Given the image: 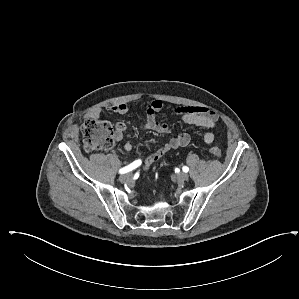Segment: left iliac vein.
<instances>
[{"label": "left iliac vein", "instance_id": "4c4485c4", "mask_svg": "<svg viewBox=\"0 0 299 299\" xmlns=\"http://www.w3.org/2000/svg\"><path fill=\"white\" fill-rule=\"evenodd\" d=\"M188 178H189L188 174L183 173V172L179 173L177 175V179H178L179 182H185L186 180H188Z\"/></svg>", "mask_w": 299, "mask_h": 299}]
</instances>
